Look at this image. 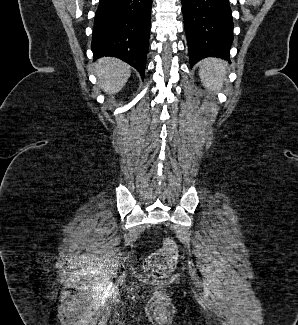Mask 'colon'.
Returning a JSON list of instances; mask_svg holds the SVG:
<instances>
[{
    "instance_id": "colon-1",
    "label": "colon",
    "mask_w": 298,
    "mask_h": 325,
    "mask_svg": "<svg viewBox=\"0 0 298 325\" xmlns=\"http://www.w3.org/2000/svg\"><path fill=\"white\" fill-rule=\"evenodd\" d=\"M176 260V247L171 241H168L163 248L148 257L144 266L145 272L150 277L165 278L173 272Z\"/></svg>"
}]
</instances>
